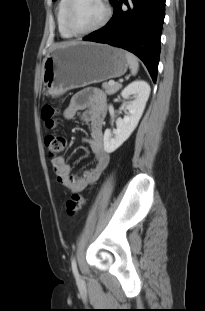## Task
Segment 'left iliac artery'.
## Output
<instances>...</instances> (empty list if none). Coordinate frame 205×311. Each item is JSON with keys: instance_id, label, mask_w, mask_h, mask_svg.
I'll list each match as a JSON object with an SVG mask.
<instances>
[{"instance_id": "44dca946", "label": "left iliac artery", "mask_w": 205, "mask_h": 311, "mask_svg": "<svg viewBox=\"0 0 205 311\" xmlns=\"http://www.w3.org/2000/svg\"><path fill=\"white\" fill-rule=\"evenodd\" d=\"M71 265H72V271H73L74 276H75L77 279H79V273H78L77 263H76L75 257L72 258Z\"/></svg>"}]
</instances>
